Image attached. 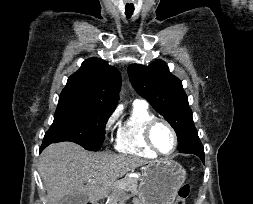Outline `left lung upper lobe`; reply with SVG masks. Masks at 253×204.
I'll list each match as a JSON object with an SVG mask.
<instances>
[{"label": "left lung upper lobe", "instance_id": "obj_1", "mask_svg": "<svg viewBox=\"0 0 253 204\" xmlns=\"http://www.w3.org/2000/svg\"><path fill=\"white\" fill-rule=\"evenodd\" d=\"M128 74L136 92L147 99L174 128L178 150L188 148L196 129L182 82L169 72L162 60H156L149 66L131 64Z\"/></svg>", "mask_w": 253, "mask_h": 204}]
</instances>
